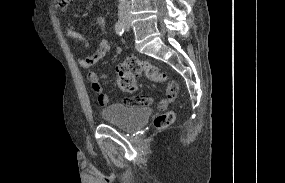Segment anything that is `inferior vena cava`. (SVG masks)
I'll return each instance as SVG.
<instances>
[{
    "label": "inferior vena cava",
    "mask_w": 285,
    "mask_h": 183,
    "mask_svg": "<svg viewBox=\"0 0 285 183\" xmlns=\"http://www.w3.org/2000/svg\"><path fill=\"white\" fill-rule=\"evenodd\" d=\"M130 14L129 0H119L118 15L119 17H127Z\"/></svg>",
    "instance_id": "1"
}]
</instances>
